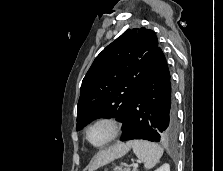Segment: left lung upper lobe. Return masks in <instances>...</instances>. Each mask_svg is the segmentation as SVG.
Here are the masks:
<instances>
[{"label": "left lung upper lobe", "mask_w": 223, "mask_h": 171, "mask_svg": "<svg viewBox=\"0 0 223 171\" xmlns=\"http://www.w3.org/2000/svg\"><path fill=\"white\" fill-rule=\"evenodd\" d=\"M158 47L154 31L134 28L96 57L82 81L77 130L101 117L125 120Z\"/></svg>", "instance_id": "obj_1"}]
</instances>
